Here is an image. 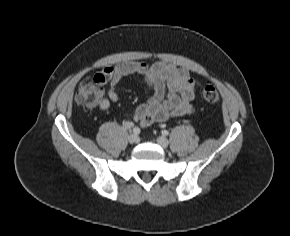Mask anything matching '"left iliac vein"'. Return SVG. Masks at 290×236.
<instances>
[{
  "label": "left iliac vein",
  "mask_w": 290,
  "mask_h": 236,
  "mask_svg": "<svg viewBox=\"0 0 290 236\" xmlns=\"http://www.w3.org/2000/svg\"><path fill=\"white\" fill-rule=\"evenodd\" d=\"M157 143L162 147V148H166L169 145V141L163 137V136H159L157 138Z\"/></svg>",
  "instance_id": "obj_1"
}]
</instances>
